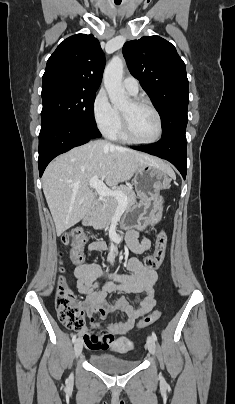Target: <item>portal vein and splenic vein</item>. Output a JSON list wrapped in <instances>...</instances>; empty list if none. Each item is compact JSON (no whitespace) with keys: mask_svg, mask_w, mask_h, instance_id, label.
I'll list each match as a JSON object with an SVG mask.
<instances>
[{"mask_svg":"<svg viewBox=\"0 0 235 404\" xmlns=\"http://www.w3.org/2000/svg\"><path fill=\"white\" fill-rule=\"evenodd\" d=\"M89 185L94 188L100 196L115 197L120 203L126 204V197L121 191L109 189L97 176L89 180Z\"/></svg>","mask_w":235,"mask_h":404,"instance_id":"portal-vein-and-splenic-vein-1","label":"portal vein and splenic vein"}]
</instances>
